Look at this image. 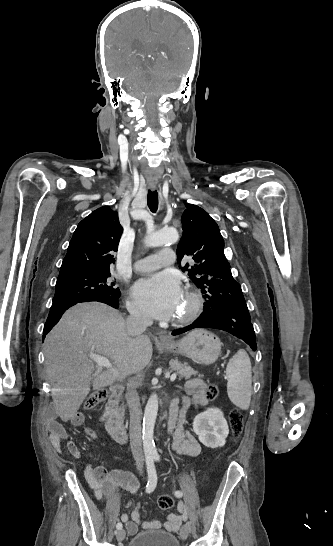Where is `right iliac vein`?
I'll list each match as a JSON object with an SVG mask.
<instances>
[{
  "instance_id": "63e3f726",
  "label": "right iliac vein",
  "mask_w": 333,
  "mask_h": 546,
  "mask_svg": "<svg viewBox=\"0 0 333 546\" xmlns=\"http://www.w3.org/2000/svg\"><path fill=\"white\" fill-rule=\"evenodd\" d=\"M126 536V532L124 529H120L116 532V538L118 541H123Z\"/></svg>"
}]
</instances>
